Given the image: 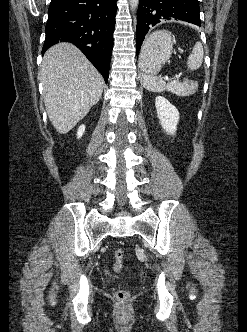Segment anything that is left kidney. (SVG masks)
<instances>
[{
	"instance_id": "left-kidney-1",
	"label": "left kidney",
	"mask_w": 247,
	"mask_h": 332,
	"mask_svg": "<svg viewBox=\"0 0 247 332\" xmlns=\"http://www.w3.org/2000/svg\"><path fill=\"white\" fill-rule=\"evenodd\" d=\"M157 116L164 131L174 135L179 121V112L174 105L162 96L155 98Z\"/></svg>"
}]
</instances>
